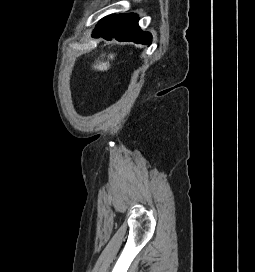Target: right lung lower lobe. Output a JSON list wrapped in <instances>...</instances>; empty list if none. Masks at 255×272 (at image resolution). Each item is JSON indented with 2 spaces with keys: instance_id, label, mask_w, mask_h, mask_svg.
<instances>
[{
  "instance_id": "1",
  "label": "right lung lower lobe",
  "mask_w": 255,
  "mask_h": 272,
  "mask_svg": "<svg viewBox=\"0 0 255 272\" xmlns=\"http://www.w3.org/2000/svg\"><path fill=\"white\" fill-rule=\"evenodd\" d=\"M139 17L134 13L112 14L99 21L93 31L92 37L118 41H131L135 43L150 44L151 34L143 32L138 26Z\"/></svg>"
}]
</instances>
